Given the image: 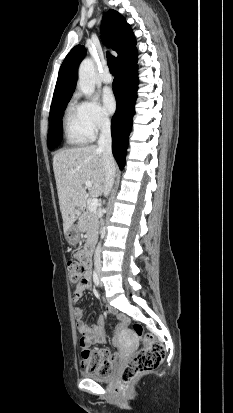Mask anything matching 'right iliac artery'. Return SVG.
<instances>
[{
    "instance_id": "1",
    "label": "right iliac artery",
    "mask_w": 233,
    "mask_h": 413,
    "mask_svg": "<svg viewBox=\"0 0 233 413\" xmlns=\"http://www.w3.org/2000/svg\"><path fill=\"white\" fill-rule=\"evenodd\" d=\"M93 280H94L95 285L99 286L100 281H99V276H98L96 271H94V273H93Z\"/></svg>"
}]
</instances>
